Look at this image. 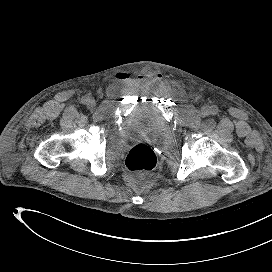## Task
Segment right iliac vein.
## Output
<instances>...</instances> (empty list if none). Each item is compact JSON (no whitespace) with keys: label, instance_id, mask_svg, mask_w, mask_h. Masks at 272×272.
<instances>
[{"label":"right iliac vein","instance_id":"obj_1","mask_svg":"<svg viewBox=\"0 0 272 272\" xmlns=\"http://www.w3.org/2000/svg\"><path fill=\"white\" fill-rule=\"evenodd\" d=\"M88 106L90 108H93L95 106V100L93 98H88V102H87Z\"/></svg>","mask_w":272,"mask_h":272}]
</instances>
